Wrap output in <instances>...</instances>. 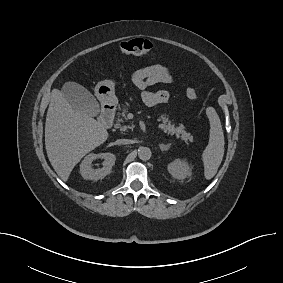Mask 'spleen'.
Instances as JSON below:
<instances>
[{
  "label": "spleen",
  "instance_id": "3e777b00",
  "mask_svg": "<svg viewBox=\"0 0 283 283\" xmlns=\"http://www.w3.org/2000/svg\"><path fill=\"white\" fill-rule=\"evenodd\" d=\"M210 122L209 142L202 154L204 176L210 180L215 176L224 155V134L218 114L213 107L207 108Z\"/></svg>",
  "mask_w": 283,
  "mask_h": 283
}]
</instances>
